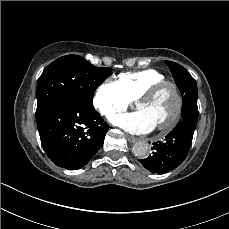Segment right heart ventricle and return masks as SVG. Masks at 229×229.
<instances>
[{
	"label": "right heart ventricle",
	"instance_id": "obj_1",
	"mask_svg": "<svg viewBox=\"0 0 229 229\" xmlns=\"http://www.w3.org/2000/svg\"><path fill=\"white\" fill-rule=\"evenodd\" d=\"M166 80V75L161 71L144 69L121 73L117 83L127 97L133 101L138 100L149 88Z\"/></svg>",
	"mask_w": 229,
	"mask_h": 229
}]
</instances>
